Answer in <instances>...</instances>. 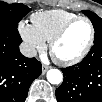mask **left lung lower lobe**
<instances>
[{
	"label": "left lung lower lobe",
	"instance_id": "left-lung-lower-lobe-1",
	"mask_svg": "<svg viewBox=\"0 0 102 102\" xmlns=\"http://www.w3.org/2000/svg\"><path fill=\"white\" fill-rule=\"evenodd\" d=\"M62 71L64 80L56 89L58 102H102V41L95 42L80 63Z\"/></svg>",
	"mask_w": 102,
	"mask_h": 102
}]
</instances>
